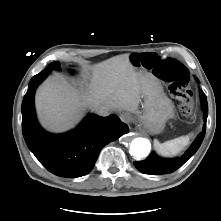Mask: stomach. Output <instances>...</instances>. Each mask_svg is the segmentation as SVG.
<instances>
[{
  "label": "stomach",
  "mask_w": 221,
  "mask_h": 221,
  "mask_svg": "<svg viewBox=\"0 0 221 221\" xmlns=\"http://www.w3.org/2000/svg\"><path fill=\"white\" fill-rule=\"evenodd\" d=\"M130 59H133V55ZM143 98L142 109L134 112L138 123L152 134L162 132L165 123L174 114V105L165 95L158 79L149 78Z\"/></svg>",
  "instance_id": "stomach-1"
}]
</instances>
